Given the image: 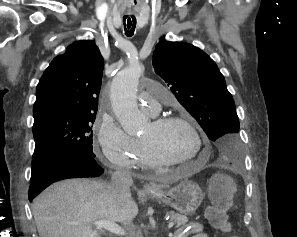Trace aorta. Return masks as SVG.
Returning <instances> with one entry per match:
<instances>
[{
    "label": "aorta",
    "instance_id": "obj_1",
    "mask_svg": "<svg viewBox=\"0 0 297 237\" xmlns=\"http://www.w3.org/2000/svg\"><path fill=\"white\" fill-rule=\"evenodd\" d=\"M144 67L133 61L121 70L111 85V102L115 116L123 130L131 136L140 134L147 118L140 113L136 100V89Z\"/></svg>",
    "mask_w": 297,
    "mask_h": 237
}]
</instances>
